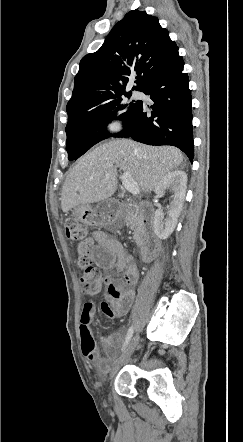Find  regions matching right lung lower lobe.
<instances>
[{
    "label": "right lung lower lobe",
    "instance_id": "1",
    "mask_svg": "<svg viewBox=\"0 0 243 442\" xmlns=\"http://www.w3.org/2000/svg\"><path fill=\"white\" fill-rule=\"evenodd\" d=\"M183 66L177 50L140 89L154 102L152 115L147 116L146 105L137 101L134 114L124 123V130L109 137H131L148 145L176 146L193 162L191 91Z\"/></svg>",
    "mask_w": 243,
    "mask_h": 442
}]
</instances>
